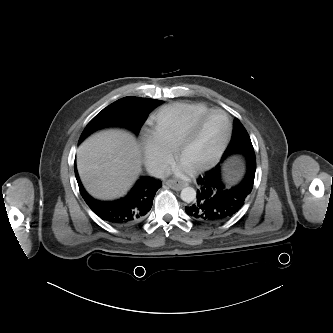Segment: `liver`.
Instances as JSON below:
<instances>
[{
    "label": "liver",
    "mask_w": 333,
    "mask_h": 333,
    "mask_svg": "<svg viewBox=\"0 0 333 333\" xmlns=\"http://www.w3.org/2000/svg\"><path fill=\"white\" fill-rule=\"evenodd\" d=\"M140 148L122 130L99 132L77 149V169L86 190L95 198L124 194L141 170Z\"/></svg>",
    "instance_id": "liver-1"
}]
</instances>
